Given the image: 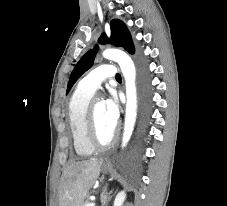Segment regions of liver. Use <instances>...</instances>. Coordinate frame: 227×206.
<instances>
[{
  "mask_svg": "<svg viewBox=\"0 0 227 206\" xmlns=\"http://www.w3.org/2000/svg\"><path fill=\"white\" fill-rule=\"evenodd\" d=\"M102 162V159L90 158L66 167L58 188L59 206H82L88 190L100 174Z\"/></svg>",
  "mask_w": 227,
  "mask_h": 206,
  "instance_id": "liver-1",
  "label": "liver"
}]
</instances>
